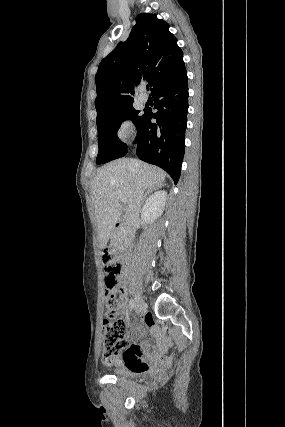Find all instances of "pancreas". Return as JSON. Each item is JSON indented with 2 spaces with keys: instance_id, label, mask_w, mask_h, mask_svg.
Instances as JSON below:
<instances>
[{
  "instance_id": "1",
  "label": "pancreas",
  "mask_w": 285,
  "mask_h": 427,
  "mask_svg": "<svg viewBox=\"0 0 285 427\" xmlns=\"http://www.w3.org/2000/svg\"><path fill=\"white\" fill-rule=\"evenodd\" d=\"M112 243H113L116 247H121V246H122L121 236H120L119 234L114 235V236H113Z\"/></svg>"
}]
</instances>
